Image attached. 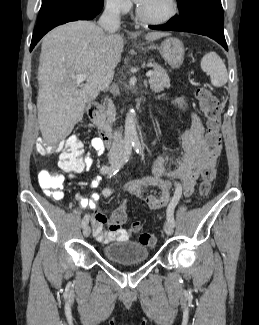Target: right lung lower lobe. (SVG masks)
Returning a JSON list of instances; mask_svg holds the SVG:
<instances>
[{"instance_id":"1","label":"right lung lower lobe","mask_w":259,"mask_h":325,"mask_svg":"<svg viewBox=\"0 0 259 325\" xmlns=\"http://www.w3.org/2000/svg\"><path fill=\"white\" fill-rule=\"evenodd\" d=\"M103 2H64L54 5L39 14L37 25L34 29L30 51L38 41L54 27L69 21L91 20L102 10Z\"/></svg>"}]
</instances>
